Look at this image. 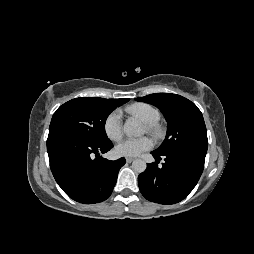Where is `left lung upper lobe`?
Returning a JSON list of instances; mask_svg holds the SVG:
<instances>
[{"instance_id": "1", "label": "left lung upper lobe", "mask_w": 254, "mask_h": 254, "mask_svg": "<svg viewBox=\"0 0 254 254\" xmlns=\"http://www.w3.org/2000/svg\"><path fill=\"white\" fill-rule=\"evenodd\" d=\"M136 101L159 108L167 121V134L155 151L165 154L183 148L207 151L208 139L201 111L190 100L176 94L156 93L139 97Z\"/></svg>"}]
</instances>
